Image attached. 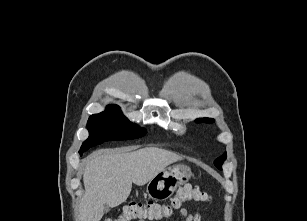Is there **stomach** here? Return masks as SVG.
<instances>
[{
	"mask_svg": "<svg viewBox=\"0 0 307 221\" xmlns=\"http://www.w3.org/2000/svg\"><path fill=\"white\" fill-rule=\"evenodd\" d=\"M192 172L186 165H173L166 167L153 177L147 184V194L156 200H166L172 196L179 185L186 183Z\"/></svg>",
	"mask_w": 307,
	"mask_h": 221,
	"instance_id": "stomach-1",
	"label": "stomach"
}]
</instances>
